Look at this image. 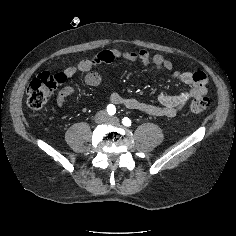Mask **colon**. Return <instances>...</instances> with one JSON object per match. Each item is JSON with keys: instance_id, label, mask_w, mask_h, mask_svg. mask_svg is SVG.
<instances>
[{"instance_id": "5ec220e1", "label": "colon", "mask_w": 236, "mask_h": 236, "mask_svg": "<svg viewBox=\"0 0 236 236\" xmlns=\"http://www.w3.org/2000/svg\"><path fill=\"white\" fill-rule=\"evenodd\" d=\"M66 81L63 73L42 72L27 87V103L33 110L45 106L52 92ZM209 107V99L205 96L196 97L190 105L194 113L205 112Z\"/></svg>"}]
</instances>
